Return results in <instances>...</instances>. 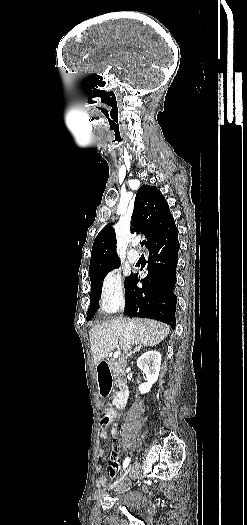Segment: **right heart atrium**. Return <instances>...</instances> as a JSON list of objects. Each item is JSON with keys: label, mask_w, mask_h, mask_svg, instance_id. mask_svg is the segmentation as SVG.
<instances>
[{"label": "right heart atrium", "mask_w": 247, "mask_h": 525, "mask_svg": "<svg viewBox=\"0 0 247 525\" xmlns=\"http://www.w3.org/2000/svg\"><path fill=\"white\" fill-rule=\"evenodd\" d=\"M123 282L117 271H109L99 289V307L104 313H114L124 305Z\"/></svg>", "instance_id": "right-heart-atrium-1"}]
</instances>
